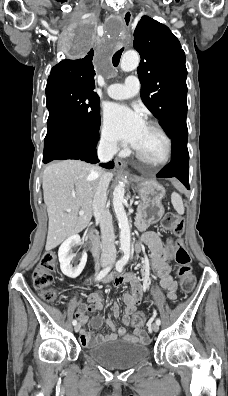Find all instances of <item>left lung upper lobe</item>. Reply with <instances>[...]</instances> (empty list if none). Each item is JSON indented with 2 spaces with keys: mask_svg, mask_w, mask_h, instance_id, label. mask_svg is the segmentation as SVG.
Instances as JSON below:
<instances>
[{
  "mask_svg": "<svg viewBox=\"0 0 228 396\" xmlns=\"http://www.w3.org/2000/svg\"><path fill=\"white\" fill-rule=\"evenodd\" d=\"M133 46L141 57L142 101L164 129L174 116L187 112L185 53L168 27L148 16L138 22Z\"/></svg>",
  "mask_w": 228,
  "mask_h": 396,
  "instance_id": "5c2ea615",
  "label": "left lung upper lobe"
}]
</instances>
